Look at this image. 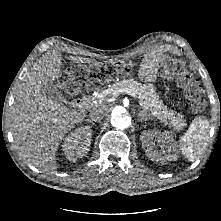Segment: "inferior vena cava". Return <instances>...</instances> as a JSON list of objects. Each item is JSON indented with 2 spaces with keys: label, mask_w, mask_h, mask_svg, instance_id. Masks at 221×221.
Returning <instances> with one entry per match:
<instances>
[{
  "label": "inferior vena cava",
  "mask_w": 221,
  "mask_h": 221,
  "mask_svg": "<svg viewBox=\"0 0 221 221\" xmlns=\"http://www.w3.org/2000/svg\"><path fill=\"white\" fill-rule=\"evenodd\" d=\"M105 115V108L100 106V105H96L95 107L92 108V110L89 113V122L93 123V122H101V120L103 119Z\"/></svg>",
  "instance_id": "1"
}]
</instances>
